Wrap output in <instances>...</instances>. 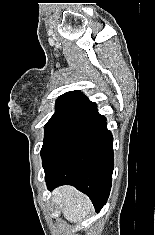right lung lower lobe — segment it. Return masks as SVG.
Wrapping results in <instances>:
<instances>
[{
  "label": "right lung lower lobe",
  "instance_id": "obj_1",
  "mask_svg": "<svg viewBox=\"0 0 155 235\" xmlns=\"http://www.w3.org/2000/svg\"><path fill=\"white\" fill-rule=\"evenodd\" d=\"M99 119L75 138L45 170L47 188L72 185L87 194L96 211L107 202L114 169L113 137L107 129L106 118L93 104Z\"/></svg>",
  "mask_w": 155,
  "mask_h": 235
}]
</instances>
